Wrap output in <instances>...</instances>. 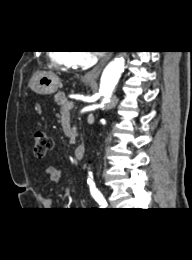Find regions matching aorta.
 Instances as JSON below:
<instances>
[{"label": "aorta", "instance_id": "1", "mask_svg": "<svg viewBox=\"0 0 192 260\" xmlns=\"http://www.w3.org/2000/svg\"><path fill=\"white\" fill-rule=\"evenodd\" d=\"M125 68V60L123 57H117L112 60L103 70L99 92L103 97L100 107L103 108L110 101L113 91L121 77ZM88 182H92V173H89Z\"/></svg>", "mask_w": 192, "mask_h": 260}]
</instances>
